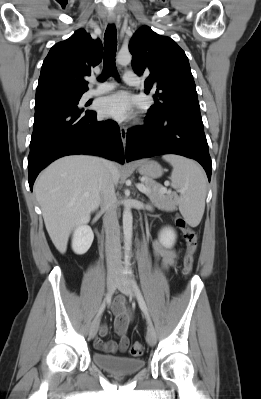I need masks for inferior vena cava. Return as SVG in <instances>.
Segmentation results:
<instances>
[{"label":"inferior vena cava","mask_w":261,"mask_h":399,"mask_svg":"<svg viewBox=\"0 0 261 399\" xmlns=\"http://www.w3.org/2000/svg\"><path fill=\"white\" fill-rule=\"evenodd\" d=\"M114 181L108 170L101 181V208L105 212L103 224L106 233V258L109 272H118L121 267L120 229L117 218Z\"/></svg>","instance_id":"1"}]
</instances>
